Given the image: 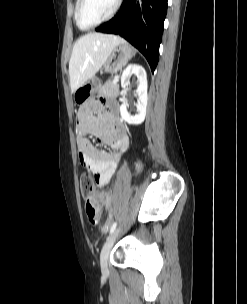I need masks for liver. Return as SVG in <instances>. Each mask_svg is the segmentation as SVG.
I'll return each mask as SVG.
<instances>
[{
    "instance_id": "6515ba94",
    "label": "liver",
    "mask_w": 247,
    "mask_h": 304,
    "mask_svg": "<svg viewBox=\"0 0 247 304\" xmlns=\"http://www.w3.org/2000/svg\"><path fill=\"white\" fill-rule=\"evenodd\" d=\"M124 42L118 36L102 33H89L77 39L69 61L71 92L94 77L113 49Z\"/></svg>"
}]
</instances>
